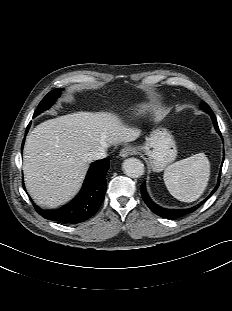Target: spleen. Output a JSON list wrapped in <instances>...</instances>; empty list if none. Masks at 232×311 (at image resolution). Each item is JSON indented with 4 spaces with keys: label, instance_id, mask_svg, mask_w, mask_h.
Returning a JSON list of instances; mask_svg holds the SVG:
<instances>
[{
    "label": "spleen",
    "instance_id": "1",
    "mask_svg": "<svg viewBox=\"0 0 232 311\" xmlns=\"http://www.w3.org/2000/svg\"><path fill=\"white\" fill-rule=\"evenodd\" d=\"M209 176V160L204 153H198L169 165L163 179L173 197L183 202H193L206 189Z\"/></svg>",
    "mask_w": 232,
    "mask_h": 311
}]
</instances>
